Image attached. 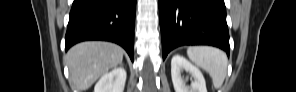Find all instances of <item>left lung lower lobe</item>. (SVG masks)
Segmentation results:
<instances>
[{"instance_id":"obj_1","label":"left lung lower lobe","mask_w":296,"mask_h":92,"mask_svg":"<svg viewBox=\"0 0 296 92\" xmlns=\"http://www.w3.org/2000/svg\"><path fill=\"white\" fill-rule=\"evenodd\" d=\"M163 59L183 45H212L229 55L224 0H159Z\"/></svg>"}]
</instances>
